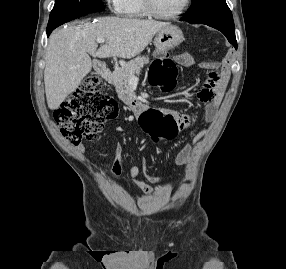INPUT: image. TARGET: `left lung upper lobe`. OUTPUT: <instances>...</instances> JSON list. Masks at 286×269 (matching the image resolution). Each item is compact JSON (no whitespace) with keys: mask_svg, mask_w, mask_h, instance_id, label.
I'll return each instance as SVG.
<instances>
[{"mask_svg":"<svg viewBox=\"0 0 286 269\" xmlns=\"http://www.w3.org/2000/svg\"><path fill=\"white\" fill-rule=\"evenodd\" d=\"M187 15L181 18L191 24H216L234 27L232 13L225 0H192Z\"/></svg>","mask_w":286,"mask_h":269,"instance_id":"1","label":"left lung upper lobe"}]
</instances>
